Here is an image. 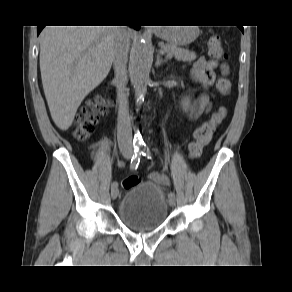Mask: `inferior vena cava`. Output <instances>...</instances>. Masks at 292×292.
<instances>
[{"label":"inferior vena cava","mask_w":292,"mask_h":292,"mask_svg":"<svg viewBox=\"0 0 292 292\" xmlns=\"http://www.w3.org/2000/svg\"><path fill=\"white\" fill-rule=\"evenodd\" d=\"M125 26H119L116 36L113 67L115 72L114 82L117 87L118 100V126L117 139L121 151H133V136L131 119L128 110V97L125 86L128 80L127 61L130 47V37Z\"/></svg>","instance_id":"inferior-vena-cava-1"}]
</instances>
